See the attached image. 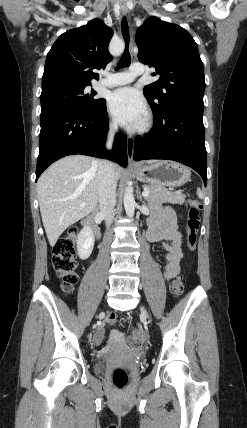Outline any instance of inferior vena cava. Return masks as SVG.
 <instances>
[{
    "instance_id": "obj_1",
    "label": "inferior vena cava",
    "mask_w": 247,
    "mask_h": 428,
    "mask_svg": "<svg viewBox=\"0 0 247 428\" xmlns=\"http://www.w3.org/2000/svg\"><path fill=\"white\" fill-rule=\"evenodd\" d=\"M117 129V124L111 125L107 136V149H111L114 134ZM98 192L100 214L104 217L106 225L109 227L112 223L115 212L114 207L116 204V176L114 172V164L108 160L99 161Z\"/></svg>"
}]
</instances>
